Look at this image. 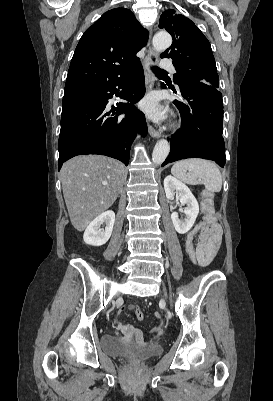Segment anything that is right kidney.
<instances>
[{
	"label": "right kidney",
	"instance_id": "obj_1",
	"mask_svg": "<svg viewBox=\"0 0 273 401\" xmlns=\"http://www.w3.org/2000/svg\"><path fill=\"white\" fill-rule=\"evenodd\" d=\"M105 223V231H101L100 227ZM115 223V213L113 211H105L99 217H96L94 221H91L88 225L84 235V243L86 245H93V247H100V245H105L109 241L113 227Z\"/></svg>",
	"mask_w": 273,
	"mask_h": 401
}]
</instances>
